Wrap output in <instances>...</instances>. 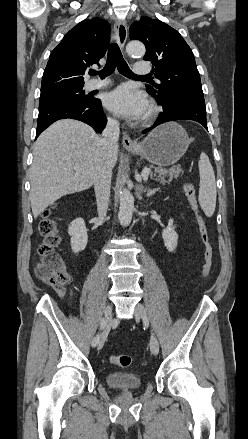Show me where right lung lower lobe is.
I'll return each mask as SVG.
<instances>
[{"instance_id":"obj_1","label":"right lung lower lobe","mask_w":248,"mask_h":439,"mask_svg":"<svg viewBox=\"0 0 248 439\" xmlns=\"http://www.w3.org/2000/svg\"><path fill=\"white\" fill-rule=\"evenodd\" d=\"M65 118L80 120L96 132H101L107 123L101 101L97 98L92 97L90 102L62 103L39 111L36 138L52 123Z\"/></svg>"}]
</instances>
